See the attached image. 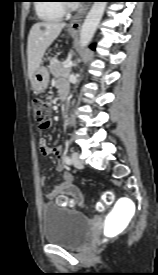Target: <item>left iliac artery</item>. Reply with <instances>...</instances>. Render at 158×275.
<instances>
[{"label":"left iliac artery","instance_id":"44dca946","mask_svg":"<svg viewBox=\"0 0 158 275\" xmlns=\"http://www.w3.org/2000/svg\"><path fill=\"white\" fill-rule=\"evenodd\" d=\"M64 161L68 165H71V163H72L71 158L69 156H65Z\"/></svg>","mask_w":158,"mask_h":275}]
</instances>
